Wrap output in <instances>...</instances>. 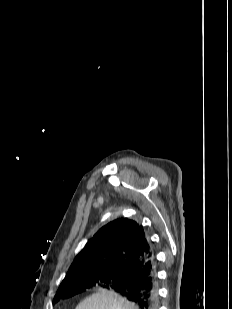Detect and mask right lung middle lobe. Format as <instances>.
Returning <instances> with one entry per match:
<instances>
[{
  "mask_svg": "<svg viewBox=\"0 0 232 309\" xmlns=\"http://www.w3.org/2000/svg\"><path fill=\"white\" fill-rule=\"evenodd\" d=\"M126 281L127 278L124 274L114 271H87L79 273L61 283L53 299V303L72 297L94 286L110 288Z\"/></svg>",
  "mask_w": 232,
  "mask_h": 309,
  "instance_id": "right-lung-middle-lobe-1",
  "label": "right lung middle lobe"
}]
</instances>
